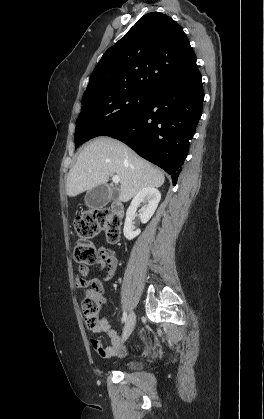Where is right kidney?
<instances>
[{
	"mask_svg": "<svg viewBox=\"0 0 264 419\" xmlns=\"http://www.w3.org/2000/svg\"><path fill=\"white\" fill-rule=\"evenodd\" d=\"M160 199L161 194L159 190L153 187L144 188L136 194L126 212V219L123 229V233L126 239L132 240L141 233L140 229L134 230L133 226L134 215L140 204H145V208L140 214V220L145 224L154 214Z\"/></svg>",
	"mask_w": 264,
	"mask_h": 419,
	"instance_id": "obj_1",
	"label": "right kidney"
}]
</instances>
